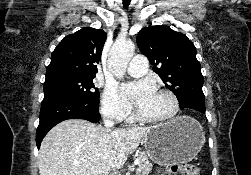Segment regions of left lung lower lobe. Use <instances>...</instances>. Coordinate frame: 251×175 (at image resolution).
Listing matches in <instances>:
<instances>
[{"instance_id":"0a47b994","label":"left lung lower lobe","mask_w":251,"mask_h":175,"mask_svg":"<svg viewBox=\"0 0 251 175\" xmlns=\"http://www.w3.org/2000/svg\"><path fill=\"white\" fill-rule=\"evenodd\" d=\"M180 107L191 117H200L205 114V104H180Z\"/></svg>"}]
</instances>
